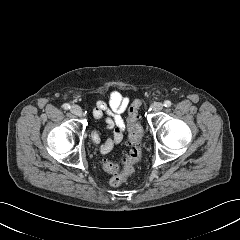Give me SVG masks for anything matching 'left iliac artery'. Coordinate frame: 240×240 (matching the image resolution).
Wrapping results in <instances>:
<instances>
[{
	"instance_id": "1",
	"label": "left iliac artery",
	"mask_w": 240,
	"mask_h": 240,
	"mask_svg": "<svg viewBox=\"0 0 240 240\" xmlns=\"http://www.w3.org/2000/svg\"><path fill=\"white\" fill-rule=\"evenodd\" d=\"M171 105H172L171 101H169V100L164 101L165 107H170Z\"/></svg>"
}]
</instances>
